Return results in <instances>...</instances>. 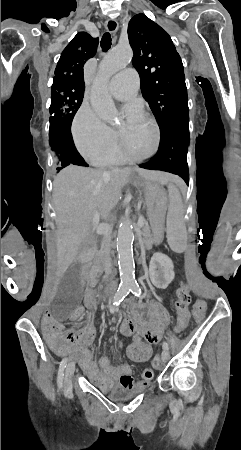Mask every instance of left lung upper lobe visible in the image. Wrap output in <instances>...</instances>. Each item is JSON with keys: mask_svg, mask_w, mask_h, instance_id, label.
I'll list each match as a JSON object with an SVG mask.
<instances>
[{"mask_svg": "<svg viewBox=\"0 0 241 450\" xmlns=\"http://www.w3.org/2000/svg\"><path fill=\"white\" fill-rule=\"evenodd\" d=\"M133 66L141 78V92L159 127L189 111L183 64L170 36L144 14L129 22Z\"/></svg>", "mask_w": 241, "mask_h": 450, "instance_id": "5c2ea615", "label": "left lung upper lobe"}]
</instances>
